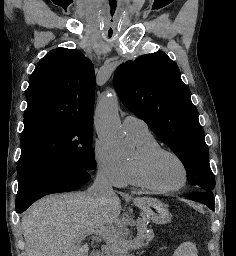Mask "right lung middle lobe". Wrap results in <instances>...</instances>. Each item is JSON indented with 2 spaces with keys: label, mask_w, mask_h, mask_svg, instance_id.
<instances>
[{
  "label": "right lung middle lobe",
  "mask_w": 236,
  "mask_h": 256,
  "mask_svg": "<svg viewBox=\"0 0 236 256\" xmlns=\"http://www.w3.org/2000/svg\"><path fill=\"white\" fill-rule=\"evenodd\" d=\"M92 134V123L54 118L24 121L18 184L33 174L70 166L93 170Z\"/></svg>",
  "instance_id": "dd1d6c3e"
}]
</instances>
